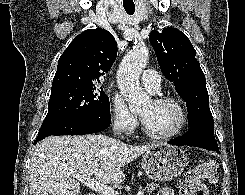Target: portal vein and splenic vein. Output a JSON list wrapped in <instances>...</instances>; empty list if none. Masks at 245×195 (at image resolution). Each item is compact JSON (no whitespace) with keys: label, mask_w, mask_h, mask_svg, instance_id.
<instances>
[{"label":"portal vein and splenic vein","mask_w":245,"mask_h":195,"mask_svg":"<svg viewBox=\"0 0 245 195\" xmlns=\"http://www.w3.org/2000/svg\"><path fill=\"white\" fill-rule=\"evenodd\" d=\"M77 180L83 182L87 187L91 188L92 190L101 193L102 195H119L117 191H115L112 187H109L91 176H82L79 174L72 175ZM137 195H144L143 190H140Z\"/></svg>","instance_id":"portal-vein-and-splenic-vein-1"}]
</instances>
